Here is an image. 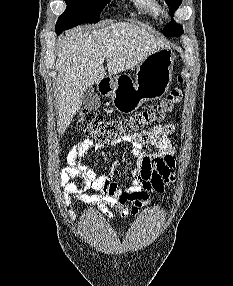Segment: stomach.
I'll list each match as a JSON object with an SVG mask.
<instances>
[{"instance_id":"1","label":"stomach","mask_w":233,"mask_h":286,"mask_svg":"<svg viewBox=\"0 0 233 286\" xmlns=\"http://www.w3.org/2000/svg\"><path fill=\"white\" fill-rule=\"evenodd\" d=\"M174 52L161 48L148 55L136 70L135 82L119 84L110 80L109 90L116 109L122 113H132L144 101L160 99L169 89L172 81Z\"/></svg>"}]
</instances>
